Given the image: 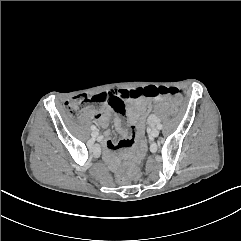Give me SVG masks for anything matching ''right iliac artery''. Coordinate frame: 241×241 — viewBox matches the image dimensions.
Returning <instances> with one entry per match:
<instances>
[{
  "instance_id": "82829eb1",
  "label": "right iliac artery",
  "mask_w": 241,
  "mask_h": 241,
  "mask_svg": "<svg viewBox=\"0 0 241 241\" xmlns=\"http://www.w3.org/2000/svg\"><path fill=\"white\" fill-rule=\"evenodd\" d=\"M91 129H92V130H96V126L92 125V126H91Z\"/></svg>"
}]
</instances>
